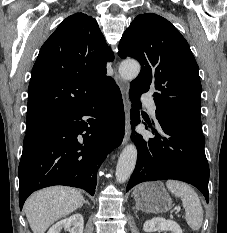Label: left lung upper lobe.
<instances>
[{
	"instance_id": "5c2ea615",
	"label": "left lung upper lobe",
	"mask_w": 227,
	"mask_h": 233,
	"mask_svg": "<svg viewBox=\"0 0 227 233\" xmlns=\"http://www.w3.org/2000/svg\"><path fill=\"white\" fill-rule=\"evenodd\" d=\"M118 54L141 64L130 89L154 92L157 113L202 132L198 65L187 41L168 20L153 13L138 15L124 32Z\"/></svg>"
}]
</instances>
